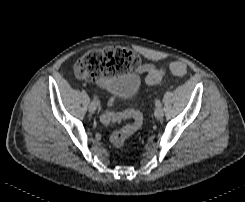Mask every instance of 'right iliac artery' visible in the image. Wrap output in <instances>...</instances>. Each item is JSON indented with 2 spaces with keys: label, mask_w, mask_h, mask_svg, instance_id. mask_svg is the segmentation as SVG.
I'll return each mask as SVG.
<instances>
[{
  "label": "right iliac artery",
  "mask_w": 245,
  "mask_h": 202,
  "mask_svg": "<svg viewBox=\"0 0 245 202\" xmlns=\"http://www.w3.org/2000/svg\"><path fill=\"white\" fill-rule=\"evenodd\" d=\"M93 102L96 104V106L100 107V101L96 96H94Z\"/></svg>",
  "instance_id": "82829eb1"
}]
</instances>
